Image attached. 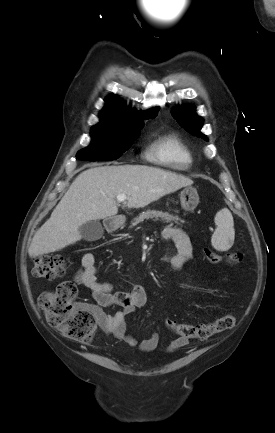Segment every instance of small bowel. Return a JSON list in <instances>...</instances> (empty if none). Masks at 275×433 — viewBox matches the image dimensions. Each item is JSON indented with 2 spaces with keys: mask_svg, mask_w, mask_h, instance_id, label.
Wrapping results in <instances>:
<instances>
[{
  "mask_svg": "<svg viewBox=\"0 0 275 433\" xmlns=\"http://www.w3.org/2000/svg\"><path fill=\"white\" fill-rule=\"evenodd\" d=\"M163 239L173 243L165 260L173 269H179L192 256V247L186 233L180 228L167 226L162 232ZM82 268L75 274L74 281L77 285L88 289L94 300L90 309L95 314L101 329L118 340L133 347L137 340L127 333V318L135 310L147 304V294L141 285H133L128 289H118L111 282L97 280L96 257L92 252H86L81 258ZM119 306L121 310L107 314L104 309ZM159 334L153 333L144 339L139 347L142 351L151 352L158 347ZM188 340L182 337L170 342L168 351L184 348Z\"/></svg>",
  "mask_w": 275,
  "mask_h": 433,
  "instance_id": "small-bowel-1",
  "label": "small bowel"
}]
</instances>
